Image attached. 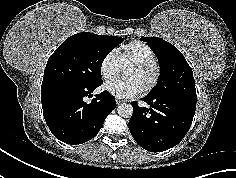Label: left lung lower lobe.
I'll return each mask as SVG.
<instances>
[{"label": "left lung lower lobe", "mask_w": 236, "mask_h": 178, "mask_svg": "<svg viewBox=\"0 0 236 178\" xmlns=\"http://www.w3.org/2000/svg\"><path fill=\"white\" fill-rule=\"evenodd\" d=\"M149 108L132 102L129 130L135 141L150 152H162L177 145L188 132L197 98L150 96L142 99Z\"/></svg>", "instance_id": "obj_1"}]
</instances>
